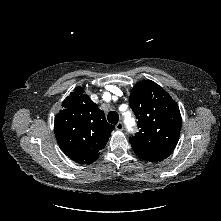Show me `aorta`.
I'll return each mask as SVG.
<instances>
[{
    "mask_svg": "<svg viewBox=\"0 0 221 221\" xmlns=\"http://www.w3.org/2000/svg\"><path fill=\"white\" fill-rule=\"evenodd\" d=\"M125 122H126V124H127L128 126H132V125L134 124V119L131 118V117L128 115V116H126V118H125Z\"/></svg>",
    "mask_w": 221,
    "mask_h": 221,
    "instance_id": "obj_1",
    "label": "aorta"
}]
</instances>
